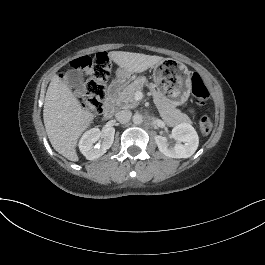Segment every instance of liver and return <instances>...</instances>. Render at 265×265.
I'll return each instance as SVG.
<instances>
[{
	"instance_id": "1",
	"label": "liver",
	"mask_w": 265,
	"mask_h": 265,
	"mask_svg": "<svg viewBox=\"0 0 265 265\" xmlns=\"http://www.w3.org/2000/svg\"><path fill=\"white\" fill-rule=\"evenodd\" d=\"M107 56L120 71L129 75L144 73L165 61L164 57L122 51H111ZM94 121L95 115L82 106L59 75H54L43 106V122L54 150L69 161H79V139Z\"/></svg>"
}]
</instances>
